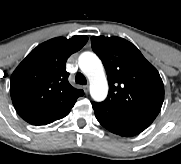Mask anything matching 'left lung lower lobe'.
Returning a JSON list of instances; mask_svg holds the SVG:
<instances>
[{
    "label": "left lung lower lobe",
    "mask_w": 181,
    "mask_h": 164,
    "mask_svg": "<svg viewBox=\"0 0 181 164\" xmlns=\"http://www.w3.org/2000/svg\"><path fill=\"white\" fill-rule=\"evenodd\" d=\"M95 116L99 123L110 132L121 136H135L147 127L150 123L121 112L115 108L92 102Z\"/></svg>",
    "instance_id": "0a47b994"
}]
</instances>
